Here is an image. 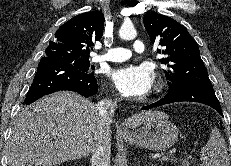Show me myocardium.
<instances>
[{
	"label": "myocardium",
	"instance_id": "obj_1",
	"mask_svg": "<svg viewBox=\"0 0 231 166\" xmlns=\"http://www.w3.org/2000/svg\"><path fill=\"white\" fill-rule=\"evenodd\" d=\"M160 89V84L158 83L157 84V91Z\"/></svg>",
	"mask_w": 231,
	"mask_h": 166
}]
</instances>
